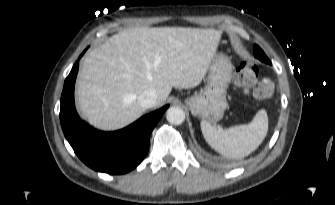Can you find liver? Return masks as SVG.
<instances>
[{
    "mask_svg": "<svg viewBox=\"0 0 335 205\" xmlns=\"http://www.w3.org/2000/svg\"><path fill=\"white\" fill-rule=\"evenodd\" d=\"M221 32L187 27L132 28L111 36L83 60L77 81L79 109L102 130L139 118L138 97L157 92L161 106L172 88L198 86L215 55Z\"/></svg>",
    "mask_w": 335,
    "mask_h": 205,
    "instance_id": "1",
    "label": "liver"
}]
</instances>
